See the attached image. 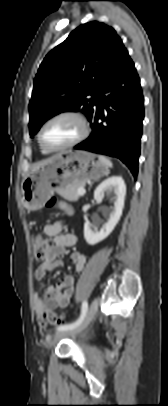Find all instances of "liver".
<instances>
[{"instance_id": "obj_1", "label": "liver", "mask_w": 168, "mask_h": 406, "mask_svg": "<svg viewBox=\"0 0 168 406\" xmlns=\"http://www.w3.org/2000/svg\"><path fill=\"white\" fill-rule=\"evenodd\" d=\"M54 158H55V156L52 157V158H49V159H46V160H44V161H41V162L37 163V164L33 167L32 171H35V170L39 169L40 167L47 165L48 163L52 162V161L54 160Z\"/></svg>"}]
</instances>
